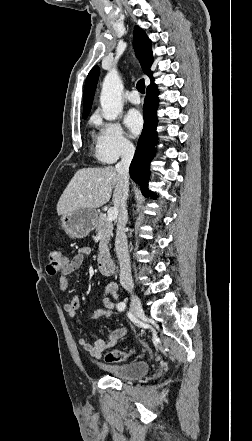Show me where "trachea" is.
<instances>
[{
    "label": "trachea",
    "instance_id": "trachea-1",
    "mask_svg": "<svg viewBox=\"0 0 252 441\" xmlns=\"http://www.w3.org/2000/svg\"><path fill=\"white\" fill-rule=\"evenodd\" d=\"M136 89H137L140 93H142V94L145 93V83H144V79H140V80L137 82Z\"/></svg>",
    "mask_w": 252,
    "mask_h": 441
}]
</instances>
